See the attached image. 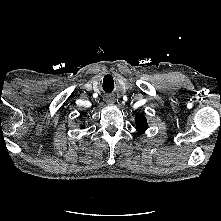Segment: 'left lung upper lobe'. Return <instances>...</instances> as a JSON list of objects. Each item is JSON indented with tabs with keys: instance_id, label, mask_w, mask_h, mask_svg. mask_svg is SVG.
<instances>
[{
	"instance_id": "obj_1",
	"label": "left lung upper lobe",
	"mask_w": 221,
	"mask_h": 221,
	"mask_svg": "<svg viewBox=\"0 0 221 221\" xmlns=\"http://www.w3.org/2000/svg\"><path fill=\"white\" fill-rule=\"evenodd\" d=\"M135 119H136V129L138 133L140 134L144 133L148 127L146 123V118L143 115L139 114L136 116Z\"/></svg>"
}]
</instances>
